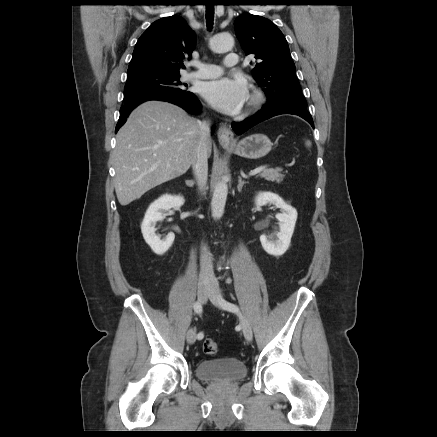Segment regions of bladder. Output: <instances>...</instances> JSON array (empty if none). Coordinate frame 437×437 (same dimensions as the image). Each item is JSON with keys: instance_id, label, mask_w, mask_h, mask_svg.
<instances>
[{"instance_id": "1", "label": "bladder", "mask_w": 437, "mask_h": 437, "mask_svg": "<svg viewBox=\"0 0 437 437\" xmlns=\"http://www.w3.org/2000/svg\"><path fill=\"white\" fill-rule=\"evenodd\" d=\"M195 373L199 379L205 381L233 382L246 376L247 367L240 359L226 357L198 362Z\"/></svg>"}]
</instances>
